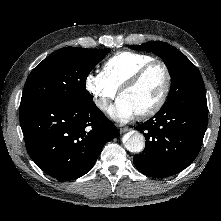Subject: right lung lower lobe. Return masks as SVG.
Returning <instances> with one entry per match:
<instances>
[{
	"mask_svg": "<svg viewBox=\"0 0 221 221\" xmlns=\"http://www.w3.org/2000/svg\"><path fill=\"white\" fill-rule=\"evenodd\" d=\"M20 124L32 160L60 180H74L89 172L103 146L119 134L93 100L24 102Z\"/></svg>",
	"mask_w": 221,
	"mask_h": 221,
	"instance_id": "1",
	"label": "right lung lower lobe"
}]
</instances>
